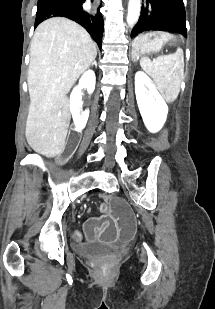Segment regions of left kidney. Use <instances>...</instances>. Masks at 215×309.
Segmentation results:
<instances>
[{
  "instance_id": "left-kidney-1",
  "label": "left kidney",
  "mask_w": 215,
  "mask_h": 309,
  "mask_svg": "<svg viewBox=\"0 0 215 309\" xmlns=\"http://www.w3.org/2000/svg\"><path fill=\"white\" fill-rule=\"evenodd\" d=\"M140 86H142V90H140ZM135 94L146 128L150 132H158L166 122L168 106L156 90L151 78L142 70H138L135 74Z\"/></svg>"
}]
</instances>
